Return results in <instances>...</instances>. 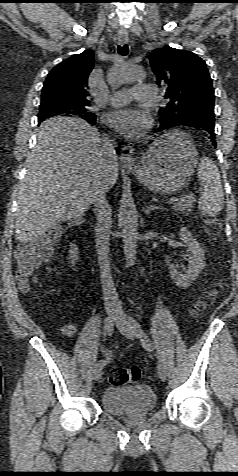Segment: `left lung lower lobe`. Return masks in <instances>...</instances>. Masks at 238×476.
<instances>
[{
  "label": "left lung lower lobe",
  "instance_id": "0a47b994",
  "mask_svg": "<svg viewBox=\"0 0 238 476\" xmlns=\"http://www.w3.org/2000/svg\"><path fill=\"white\" fill-rule=\"evenodd\" d=\"M184 125L190 127H198L206 130L210 133L209 139L212 141L213 145L216 146L215 141V133H214V120H210L209 118H196V119H189L184 121H179L175 123H166L161 124L158 131H163L169 129L174 126Z\"/></svg>",
  "mask_w": 238,
  "mask_h": 476
}]
</instances>
